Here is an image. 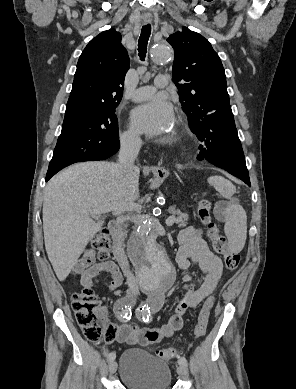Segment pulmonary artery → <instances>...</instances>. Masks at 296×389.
<instances>
[{"label":"pulmonary artery","mask_w":296,"mask_h":389,"mask_svg":"<svg viewBox=\"0 0 296 389\" xmlns=\"http://www.w3.org/2000/svg\"><path fill=\"white\" fill-rule=\"evenodd\" d=\"M167 77L164 75H158L155 78L154 85L143 86L136 89L132 95L134 101H142L150 98L158 88H163L167 85Z\"/></svg>","instance_id":"1"}]
</instances>
